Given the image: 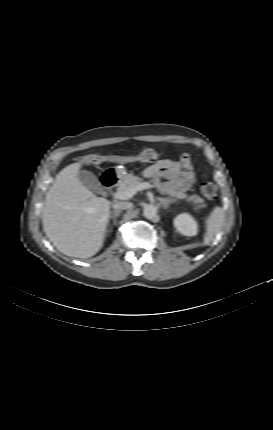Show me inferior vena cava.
Instances as JSON below:
<instances>
[{"instance_id": "602c4592", "label": "inferior vena cava", "mask_w": 273, "mask_h": 430, "mask_svg": "<svg viewBox=\"0 0 273 430\" xmlns=\"http://www.w3.org/2000/svg\"><path fill=\"white\" fill-rule=\"evenodd\" d=\"M113 207L115 209H119V210H126V209H130L132 207V203L130 202H125V201H120V202H116Z\"/></svg>"}]
</instances>
